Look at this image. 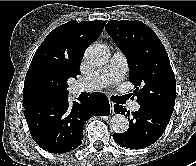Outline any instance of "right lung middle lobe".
<instances>
[{
    "instance_id": "1",
    "label": "right lung middle lobe",
    "mask_w": 196,
    "mask_h": 166,
    "mask_svg": "<svg viewBox=\"0 0 196 166\" xmlns=\"http://www.w3.org/2000/svg\"><path fill=\"white\" fill-rule=\"evenodd\" d=\"M45 91H46V89H45L44 87H40V88L38 89V92H39L40 94H44Z\"/></svg>"
}]
</instances>
